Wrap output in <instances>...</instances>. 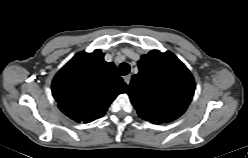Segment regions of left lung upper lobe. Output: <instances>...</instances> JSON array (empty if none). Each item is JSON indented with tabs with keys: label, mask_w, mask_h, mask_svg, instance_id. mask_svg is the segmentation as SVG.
I'll return each mask as SVG.
<instances>
[{
	"label": "left lung upper lobe",
	"mask_w": 248,
	"mask_h": 158,
	"mask_svg": "<svg viewBox=\"0 0 248 158\" xmlns=\"http://www.w3.org/2000/svg\"><path fill=\"white\" fill-rule=\"evenodd\" d=\"M139 73L132 77L127 93L138 115L155 124L180 117L190 104L194 78L171 52L152 50L138 61Z\"/></svg>",
	"instance_id": "5c2ea615"
}]
</instances>
